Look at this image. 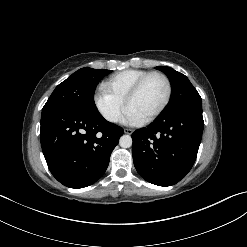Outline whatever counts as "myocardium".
I'll return each instance as SVG.
<instances>
[{
    "label": "myocardium",
    "instance_id": "f54148a6",
    "mask_svg": "<svg viewBox=\"0 0 247 247\" xmlns=\"http://www.w3.org/2000/svg\"><path fill=\"white\" fill-rule=\"evenodd\" d=\"M153 76H159L165 81L167 92H166L165 99H164L163 103L160 105V107L156 111H154L151 115H149L148 117L143 119V123H149V122H152L153 120H155L166 109V107L168 106V104L171 100V97H172V83H171L169 77L166 74H164L163 72L153 71V72H149L148 74L143 76L131 88V90L128 92V94L125 98V105L128 107L130 101L139 93V91L141 90L143 85L146 83V81Z\"/></svg>",
    "mask_w": 247,
    "mask_h": 247
}]
</instances>
